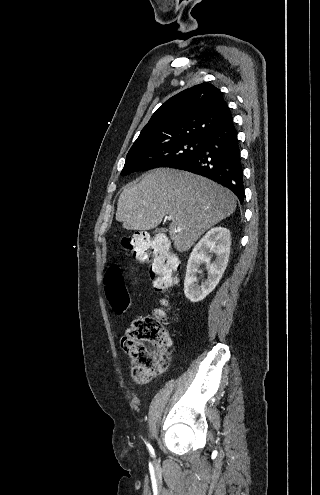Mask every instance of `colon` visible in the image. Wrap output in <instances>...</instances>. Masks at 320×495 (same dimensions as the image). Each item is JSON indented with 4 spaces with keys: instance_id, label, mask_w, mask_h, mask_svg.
<instances>
[{
    "instance_id": "1",
    "label": "colon",
    "mask_w": 320,
    "mask_h": 495,
    "mask_svg": "<svg viewBox=\"0 0 320 495\" xmlns=\"http://www.w3.org/2000/svg\"><path fill=\"white\" fill-rule=\"evenodd\" d=\"M121 246L138 262L150 263V274L157 291H168L177 281L178 261L170 251L166 237H151L146 232H136L121 239ZM103 286L106 298L117 314L124 313L130 298L123 275L117 264L105 272ZM163 312L134 320L121 339V346L130 358L131 374L136 383L148 382L163 372L170 359L169 347L161 322Z\"/></svg>"
}]
</instances>
